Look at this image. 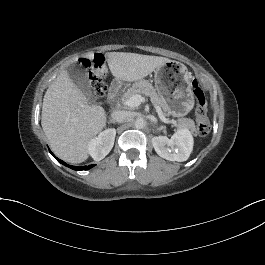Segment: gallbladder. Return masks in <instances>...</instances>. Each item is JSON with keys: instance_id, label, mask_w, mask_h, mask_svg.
Returning a JSON list of instances; mask_svg holds the SVG:
<instances>
[{"instance_id": "gallbladder-1", "label": "gallbladder", "mask_w": 265, "mask_h": 265, "mask_svg": "<svg viewBox=\"0 0 265 265\" xmlns=\"http://www.w3.org/2000/svg\"><path fill=\"white\" fill-rule=\"evenodd\" d=\"M70 78L93 101L95 98L90 95L91 82L88 80L87 70L79 63L73 62L68 69Z\"/></svg>"}]
</instances>
